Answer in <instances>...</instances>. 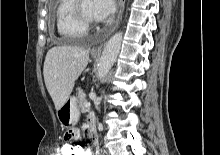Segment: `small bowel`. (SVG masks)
Wrapping results in <instances>:
<instances>
[{
    "instance_id": "obj_1",
    "label": "small bowel",
    "mask_w": 220,
    "mask_h": 155,
    "mask_svg": "<svg viewBox=\"0 0 220 155\" xmlns=\"http://www.w3.org/2000/svg\"><path fill=\"white\" fill-rule=\"evenodd\" d=\"M93 120V117L91 116L89 118V122ZM80 139V130H76V126H64L63 130V140L64 141H79ZM64 146H74V145H64ZM82 155H90L89 150H85L81 148Z\"/></svg>"
}]
</instances>
